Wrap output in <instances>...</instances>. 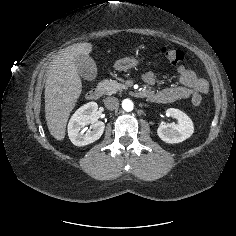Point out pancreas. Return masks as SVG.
Listing matches in <instances>:
<instances>
[{"mask_svg": "<svg viewBox=\"0 0 236 236\" xmlns=\"http://www.w3.org/2000/svg\"><path fill=\"white\" fill-rule=\"evenodd\" d=\"M104 93L106 95L115 94L117 91L126 90L127 86L123 83L117 82L115 80H104Z\"/></svg>", "mask_w": 236, "mask_h": 236, "instance_id": "obj_1", "label": "pancreas"}]
</instances>
